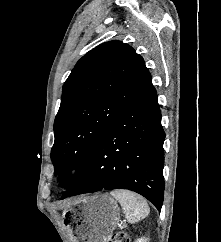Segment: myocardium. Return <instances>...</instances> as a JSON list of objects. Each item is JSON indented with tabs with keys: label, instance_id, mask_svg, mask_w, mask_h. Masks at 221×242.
<instances>
[{
	"label": "myocardium",
	"instance_id": "f54148a6",
	"mask_svg": "<svg viewBox=\"0 0 221 242\" xmlns=\"http://www.w3.org/2000/svg\"><path fill=\"white\" fill-rule=\"evenodd\" d=\"M76 165H69L64 170V176L66 178H71L76 173Z\"/></svg>",
	"mask_w": 221,
	"mask_h": 242
}]
</instances>
